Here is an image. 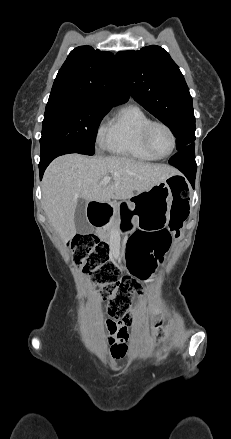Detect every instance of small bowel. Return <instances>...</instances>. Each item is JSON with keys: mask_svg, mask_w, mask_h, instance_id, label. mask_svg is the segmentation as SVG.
<instances>
[{"mask_svg": "<svg viewBox=\"0 0 231 439\" xmlns=\"http://www.w3.org/2000/svg\"><path fill=\"white\" fill-rule=\"evenodd\" d=\"M136 234L143 235L144 239L139 245L138 253L135 252L133 243L130 242V240L127 244V252L131 261V266L141 263L151 275L157 264L162 261L168 253L172 239L177 233L171 230L170 227L163 226L152 230L141 228ZM105 326L108 329L111 355L116 359L125 357L127 353V339L129 336L126 325L122 322L106 319Z\"/></svg>", "mask_w": 231, "mask_h": 439, "instance_id": "obj_1", "label": "small bowel"}]
</instances>
